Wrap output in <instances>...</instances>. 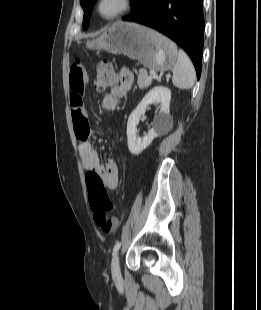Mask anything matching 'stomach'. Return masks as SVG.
I'll list each match as a JSON object with an SVG mask.
<instances>
[{"instance_id":"stomach-1","label":"stomach","mask_w":261,"mask_h":310,"mask_svg":"<svg viewBox=\"0 0 261 310\" xmlns=\"http://www.w3.org/2000/svg\"><path fill=\"white\" fill-rule=\"evenodd\" d=\"M88 49L105 50L138 60L146 68L164 72L177 61L176 45L160 33L132 22H116L96 39L86 42Z\"/></svg>"}]
</instances>
